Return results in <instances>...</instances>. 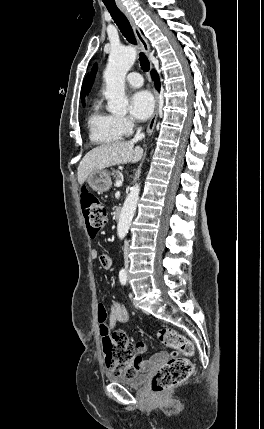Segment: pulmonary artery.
<instances>
[{"label": "pulmonary artery", "instance_id": "pulmonary-artery-1", "mask_svg": "<svg viewBox=\"0 0 264 429\" xmlns=\"http://www.w3.org/2000/svg\"><path fill=\"white\" fill-rule=\"evenodd\" d=\"M126 82L131 87H141L143 85V78L138 72H131L126 77Z\"/></svg>", "mask_w": 264, "mask_h": 429}]
</instances>
